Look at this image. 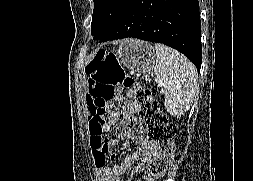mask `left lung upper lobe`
<instances>
[{
    "instance_id": "obj_1",
    "label": "left lung upper lobe",
    "mask_w": 253,
    "mask_h": 181,
    "mask_svg": "<svg viewBox=\"0 0 253 181\" xmlns=\"http://www.w3.org/2000/svg\"><path fill=\"white\" fill-rule=\"evenodd\" d=\"M131 0H94L91 30L94 40L100 39L121 16Z\"/></svg>"
}]
</instances>
